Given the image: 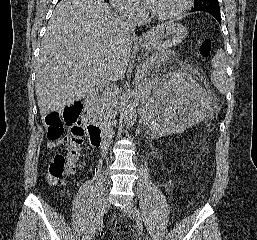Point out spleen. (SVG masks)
I'll list each match as a JSON object with an SVG mask.
<instances>
[{
	"label": "spleen",
	"mask_w": 257,
	"mask_h": 240,
	"mask_svg": "<svg viewBox=\"0 0 257 240\" xmlns=\"http://www.w3.org/2000/svg\"><path fill=\"white\" fill-rule=\"evenodd\" d=\"M213 71L211 74V82L222 94L228 90V77L226 73V56L220 48L212 59Z\"/></svg>",
	"instance_id": "3e777b00"
}]
</instances>
